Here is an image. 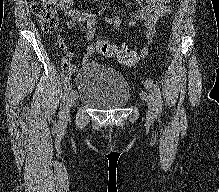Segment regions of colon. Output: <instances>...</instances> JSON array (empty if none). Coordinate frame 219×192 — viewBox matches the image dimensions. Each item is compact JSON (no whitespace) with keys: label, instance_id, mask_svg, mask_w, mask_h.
Wrapping results in <instances>:
<instances>
[{"label":"colon","instance_id":"obj_1","mask_svg":"<svg viewBox=\"0 0 219 192\" xmlns=\"http://www.w3.org/2000/svg\"><path fill=\"white\" fill-rule=\"evenodd\" d=\"M31 12L45 33L52 34L57 31L59 19L56 11L50 6V0H33ZM97 51L103 56L115 58L125 66H133L140 60V56L136 51L127 47L118 48L109 41H100L97 45ZM62 65L65 70L71 69L70 64L66 61Z\"/></svg>","mask_w":219,"mask_h":192}]
</instances>
